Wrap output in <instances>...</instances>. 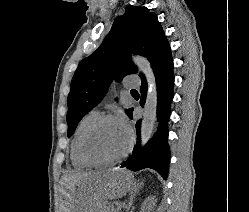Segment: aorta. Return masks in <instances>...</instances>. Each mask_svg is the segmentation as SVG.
Listing matches in <instances>:
<instances>
[{
    "mask_svg": "<svg viewBox=\"0 0 249 212\" xmlns=\"http://www.w3.org/2000/svg\"><path fill=\"white\" fill-rule=\"evenodd\" d=\"M132 60L137 65L138 69L145 75L149 86L141 122V145L144 146L152 137L157 116L156 80L152 67L146 58L142 56H133Z\"/></svg>",
    "mask_w": 249,
    "mask_h": 212,
    "instance_id": "762f6f07",
    "label": "aorta"
}]
</instances>
